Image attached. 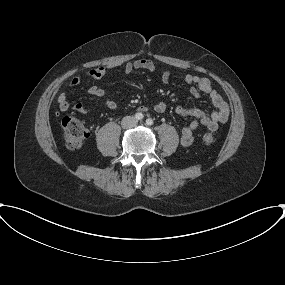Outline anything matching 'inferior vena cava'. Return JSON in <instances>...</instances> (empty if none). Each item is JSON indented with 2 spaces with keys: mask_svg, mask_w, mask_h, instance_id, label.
Masks as SVG:
<instances>
[{
  "mask_svg": "<svg viewBox=\"0 0 285 285\" xmlns=\"http://www.w3.org/2000/svg\"><path fill=\"white\" fill-rule=\"evenodd\" d=\"M127 123V127H132L136 124V120L134 117L127 116L124 118V123Z\"/></svg>",
  "mask_w": 285,
  "mask_h": 285,
  "instance_id": "inferior-vena-cava-1",
  "label": "inferior vena cava"
}]
</instances>
